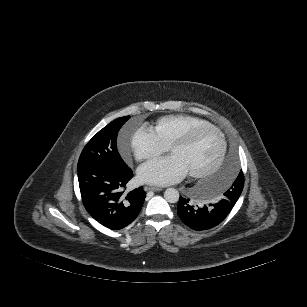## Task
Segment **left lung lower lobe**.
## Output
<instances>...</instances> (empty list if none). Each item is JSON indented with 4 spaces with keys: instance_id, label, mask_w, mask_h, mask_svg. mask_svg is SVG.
<instances>
[{
    "instance_id": "1",
    "label": "left lung lower lobe",
    "mask_w": 307,
    "mask_h": 307,
    "mask_svg": "<svg viewBox=\"0 0 307 307\" xmlns=\"http://www.w3.org/2000/svg\"><path fill=\"white\" fill-rule=\"evenodd\" d=\"M237 199L224 193L214 204L194 206L190 199L180 196L177 213L181 220L196 231L211 229L220 224L230 213Z\"/></svg>"
}]
</instances>
